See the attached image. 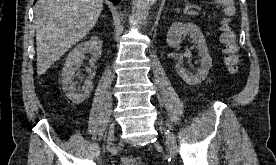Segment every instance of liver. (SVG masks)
<instances>
[{
    "instance_id": "1",
    "label": "liver",
    "mask_w": 276,
    "mask_h": 165,
    "mask_svg": "<svg viewBox=\"0 0 276 165\" xmlns=\"http://www.w3.org/2000/svg\"><path fill=\"white\" fill-rule=\"evenodd\" d=\"M103 0H38L35 5L37 74H44L96 24Z\"/></svg>"
}]
</instances>
